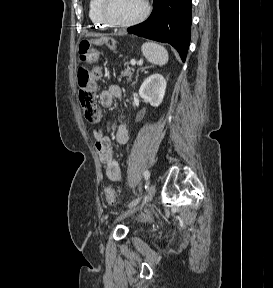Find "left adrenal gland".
<instances>
[{
  "instance_id": "1",
  "label": "left adrenal gland",
  "mask_w": 273,
  "mask_h": 288,
  "mask_svg": "<svg viewBox=\"0 0 273 288\" xmlns=\"http://www.w3.org/2000/svg\"><path fill=\"white\" fill-rule=\"evenodd\" d=\"M146 68H147V67H145V68H141V69H138V70H137L136 81H137V79H138L139 71H140V70H141V71H144Z\"/></svg>"
}]
</instances>
